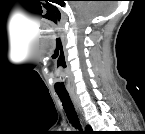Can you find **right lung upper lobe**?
<instances>
[{
	"label": "right lung upper lobe",
	"mask_w": 145,
	"mask_h": 134,
	"mask_svg": "<svg viewBox=\"0 0 145 134\" xmlns=\"http://www.w3.org/2000/svg\"><path fill=\"white\" fill-rule=\"evenodd\" d=\"M86 131L90 133V132H92V128L88 125V126L86 127Z\"/></svg>",
	"instance_id": "1"
}]
</instances>
